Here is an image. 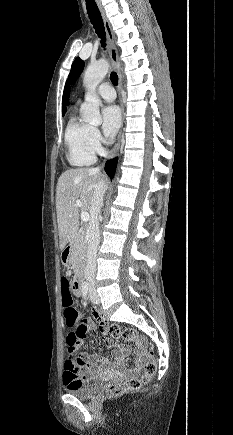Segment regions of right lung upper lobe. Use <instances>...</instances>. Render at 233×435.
Here are the masks:
<instances>
[{"mask_svg": "<svg viewBox=\"0 0 233 435\" xmlns=\"http://www.w3.org/2000/svg\"><path fill=\"white\" fill-rule=\"evenodd\" d=\"M69 98V85L68 82H66L64 93H63V105H62V114H65L66 112V105Z\"/></svg>", "mask_w": 233, "mask_h": 435, "instance_id": "cb5924a9", "label": "right lung upper lobe"}]
</instances>
